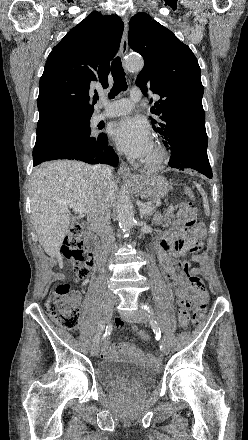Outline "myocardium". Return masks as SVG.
<instances>
[{
  "label": "myocardium",
  "mask_w": 248,
  "mask_h": 440,
  "mask_svg": "<svg viewBox=\"0 0 248 440\" xmlns=\"http://www.w3.org/2000/svg\"><path fill=\"white\" fill-rule=\"evenodd\" d=\"M152 147L154 155L151 158L145 159L142 162V165L147 170L155 171L160 169L165 164L168 158V151L159 141H155Z\"/></svg>",
  "instance_id": "myocardium-1"
}]
</instances>
